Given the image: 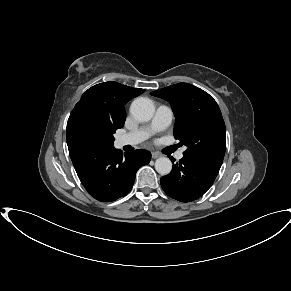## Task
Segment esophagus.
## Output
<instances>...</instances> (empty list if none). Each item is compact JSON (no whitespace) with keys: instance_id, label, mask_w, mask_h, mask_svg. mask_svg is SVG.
<instances>
[{"instance_id":"esophagus-1","label":"esophagus","mask_w":291,"mask_h":291,"mask_svg":"<svg viewBox=\"0 0 291 291\" xmlns=\"http://www.w3.org/2000/svg\"><path fill=\"white\" fill-rule=\"evenodd\" d=\"M160 156H161L160 153L152 152V158H153V159H156V158H158V157H160Z\"/></svg>"}]
</instances>
